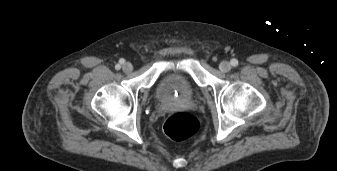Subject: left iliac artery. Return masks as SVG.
<instances>
[{
  "instance_id": "44dca946",
  "label": "left iliac artery",
  "mask_w": 337,
  "mask_h": 171,
  "mask_svg": "<svg viewBox=\"0 0 337 171\" xmlns=\"http://www.w3.org/2000/svg\"><path fill=\"white\" fill-rule=\"evenodd\" d=\"M230 63L233 67H236L238 65V60L234 58L230 61Z\"/></svg>"
}]
</instances>
